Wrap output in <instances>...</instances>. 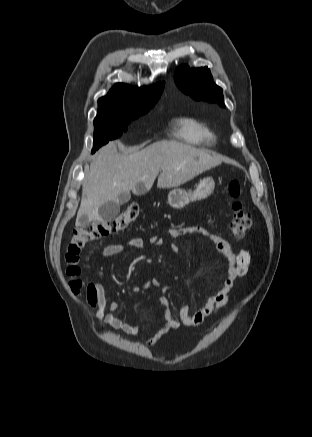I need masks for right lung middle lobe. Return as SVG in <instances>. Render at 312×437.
Segmentation results:
<instances>
[{"label": "right lung middle lobe", "instance_id": "1", "mask_svg": "<svg viewBox=\"0 0 312 437\" xmlns=\"http://www.w3.org/2000/svg\"><path fill=\"white\" fill-rule=\"evenodd\" d=\"M139 116L140 115L133 116V117L116 116V115H97V117L94 119L93 152H95L98 148L106 144L109 140L121 136L124 129L131 122V120L137 119Z\"/></svg>", "mask_w": 312, "mask_h": 437}]
</instances>
